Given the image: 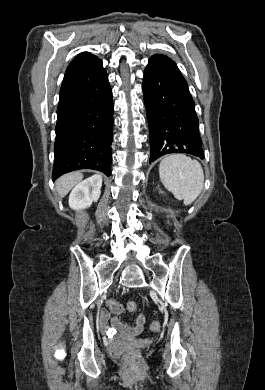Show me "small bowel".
Returning a JSON list of instances; mask_svg holds the SVG:
<instances>
[{
  "label": "small bowel",
  "instance_id": "small-bowel-1",
  "mask_svg": "<svg viewBox=\"0 0 265 390\" xmlns=\"http://www.w3.org/2000/svg\"><path fill=\"white\" fill-rule=\"evenodd\" d=\"M109 321V313L106 310H101L100 316H99V322L101 327L107 332V333H114L117 329H120L124 332L127 336H138L142 333L145 325V316L143 314H139L135 319V324L132 327H126L119 323L118 320L114 319L112 321V326H108Z\"/></svg>",
  "mask_w": 265,
  "mask_h": 390
}]
</instances>
